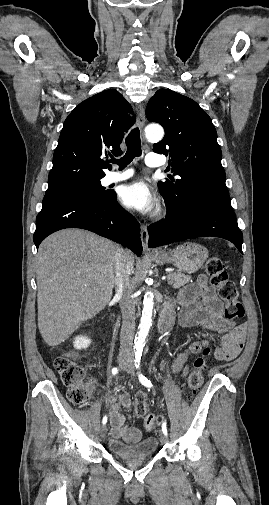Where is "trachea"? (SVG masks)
Here are the masks:
<instances>
[{"label":"trachea","mask_w":269,"mask_h":505,"mask_svg":"<svg viewBox=\"0 0 269 505\" xmlns=\"http://www.w3.org/2000/svg\"><path fill=\"white\" fill-rule=\"evenodd\" d=\"M125 142L127 146L126 154L120 159H111V162L118 164L120 169H124L135 157H140L142 154L140 131L138 127L130 131Z\"/></svg>","instance_id":"1"}]
</instances>
